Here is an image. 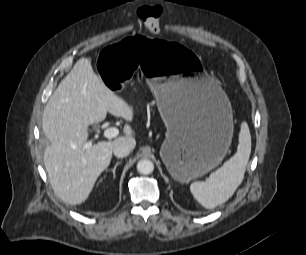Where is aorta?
<instances>
[{
    "mask_svg": "<svg viewBox=\"0 0 306 255\" xmlns=\"http://www.w3.org/2000/svg\"><path fill=\"white\" fill-rule=\"evenodd\" d=\"M137 170L139 173L144 175L150 174L154 170V164L148 159H141L137 163Z\"/></svg>",
    "mask_w": 306,
    "mask_h": 255,
    "instance_id": "1",
    "label": "aorta"
}]
</instances>
